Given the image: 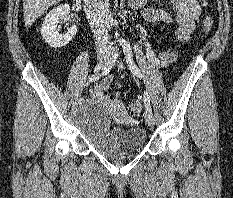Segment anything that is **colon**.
Here are the masks:
<instances>
[{
	"instance_id": "1",
	"label": "colon",
	"mask_w": 233,
	"mask_h": 198,
	"mask_svg": "<svg viewBox=\"0 0 233 198\" xmlns=\"http://www.w3.org/2000/svg\"><path fill=\"white\" fill-rule=\"evenodd\" d=\"M203 5H207L208 0H201ZM213 21L211 17L207 16L203 20L202 28L205 33H209L212 30ZM129 109L132 115L138 116L142 111V100L140 98L130 102Z\"/></svg>"
}]
</instances>
